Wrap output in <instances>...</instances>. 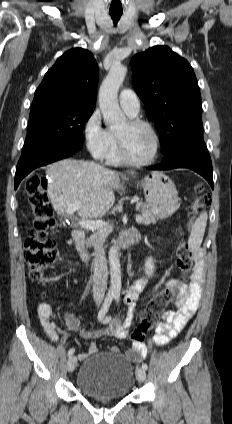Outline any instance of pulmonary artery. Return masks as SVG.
Listing matches in <instances>:
<instances>
[{
    "mask_svg": "<svg viewBox=\"0 0 232 424\" xmlns=\"http://www.w3.org/2000/svg\"><path fill=\"white\" fill-rule=\"evenodd\" d=\"M119 105L130 116H136L140 110L139 98L131 89L121 91Z\"/></svg>",
    "mask_w": 232,
    "mask_h": 424,
    "instance_id": "1",
    "label": "pulmonary artery"
}]
</instances>
